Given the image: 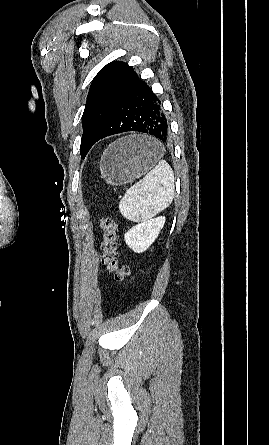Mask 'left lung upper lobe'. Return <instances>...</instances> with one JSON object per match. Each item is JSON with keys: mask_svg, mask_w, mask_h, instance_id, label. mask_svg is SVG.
Masks as SVG:
<instances>
[{"mask_svg": "<svg viewBox=\"0 0 269 445\" xmlns=\"http://www.w3.org/2000/svg\"><path fill=\"white\" fill-rule=\"evenodd\" d=\"M134 70L121 61L105 65L93 79L82 116L80 152L84 158L114 111Z\"/></svg>", "mask_w": 269, "mask_h": 445, "instance_id": "1", "label": "left lung upper lobe"}]
</instances>
